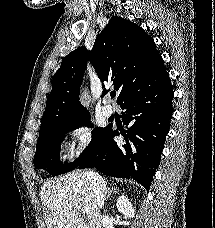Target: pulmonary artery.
<instances>
[{"label": "pulmonary artery", "instance_id": "obj_1", "mask_svg": "<svg viewBox=\"0 0 215 228\" xmlns=\"http://www.w3.org/2000/svg\"><path fill=\"white\" fill-rule=\"evenodd\" d=\"M105 105L103 107V114L107 117L111 116L114 113V108L112 106V98L111 96L108 94L105 97Z\"/></svg>", "mask_w": 215, "mask_h": 228}]
</instances>
